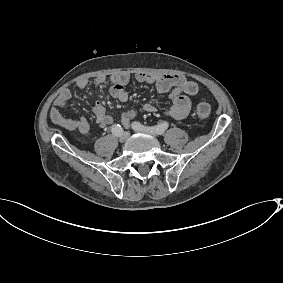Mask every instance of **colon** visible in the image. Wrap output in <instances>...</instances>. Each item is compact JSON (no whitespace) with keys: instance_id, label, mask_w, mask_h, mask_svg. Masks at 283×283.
I'll list each match as a JSON object with an SVG mask.
<instances>
[{"instance_id":"obj_1","label":"colon","mask_w":283,"mask_h":283,"mask_svg":"<svg viewBox=\"0 0 283 283\" xmlns=\"http://www.w3.org/2000/svg\"><path fill=\"white\" fill-rule=\"evenodd\" d=\"M211 107L208 103L202 102L196 107V115L199 118H206L210 115Z\"/></svg>"}]
</instances>
